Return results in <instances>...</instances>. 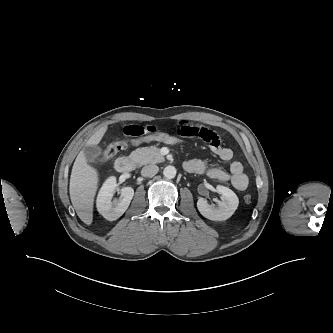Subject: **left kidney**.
I'll return each instance as SVG.
<instances>
[{
	"label": "left kidney",
	"mask_w": 333,
	"mask_h": 333,
	"mask_svg": "<svg viewBox=\"0 0 333 333\" xmlns=\"http://www.w3.org/2000/svg\"><path fill=\"white\" fill-rule=\"evenodd\" d=\"M216 190L221 194V201L218 202L216 207L208 204L204 198H199L197 208L209 220L224 221L233 215L238 207L239 199L228 187L217 185Z\"/></svg>",
	"instance_id": "5707ae66"
}]
</instances>
